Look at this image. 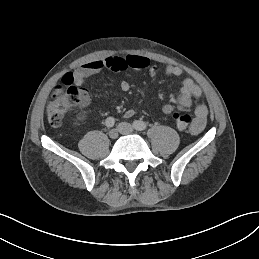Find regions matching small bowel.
Wrapping results in <instances>:
<instances>
[{
	"label": "small bowel",
	"instance_id": "c3829d8e",
	"mask_svg": "<svg viewBox=\"0 0 259 259\" xmlns=\"http://www.w3.org/2000/svg\"><path fill=\"white\" fill-rule=\"evenodd\" d=\"M126 69H147L151 75H156L158 69L155 65H152L150 60L142 55H128L126 57H106L98 59L84 64L78 69L74 70L70 74L73 77V81L76 85L85 83L90 77L101 73L105 70L120 72ZM165 74L168 76H180L182 69L174 65H168L165 68ZM130 84L127 81H123L120 84V88L123 92L130 90ZM202 91L200 87L190 78H185L182 81L180 93L177 97V103L181 108L187 109L192 105L194 99L201 97ZM173 111L171 104H166L163 107V113L169 115ZM134 110H128L125 113L126 117L134 115ZM208 108L205 104H199L195 108L194 118L192 119L190 132L193 135L201 133L207 123Z\"/></svg>",
	"mask_w": 259,
	"mask_h": 259
}]
</instances>
